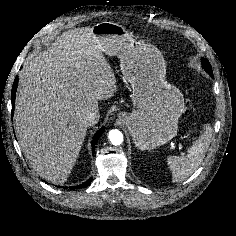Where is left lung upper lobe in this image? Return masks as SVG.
Listing matches in <instances>:
<instances>
[{"instance_id": "obj_1", "label": "left lung upper lobe", "mask_w": 236, "mask_h": 236, "mask_svg": "<svg viewBox=\"0 0 236 236\" xmlns=\"http://www.w3.org/2000/svg\"><path fill=\"white\" fill-rule=\"evenodd\" d=\"M202 65L210 75H213L211 65L207 59H202Z\"/></svg>"}]
</instances>
